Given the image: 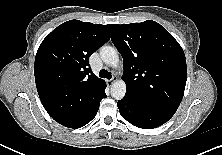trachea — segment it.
I'll return each instance as SVG.
<instances>
[{
  "label": "trachea",
  "instance_id": "trachea-1",
  "mask_svg": "<svg viewBox=\"0 0 222 155\" xmlns=\"http://www.w3.org/2000/svg\"><path fill=\"white\" fill-rule=\"evenodd\" d=\"M99 76L101 78H107V79H111L112 78V75L110 72H108L107 70L105 69H102L100 72H99Z\"/></svg>",
  "mask_w": 222,
  "mask_h": 155
}]
</instances>
